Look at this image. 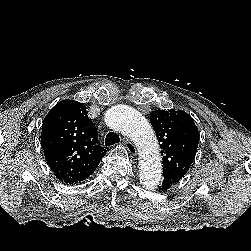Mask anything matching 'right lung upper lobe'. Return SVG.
Returning a JSON list of instances; mask_svg holds the SVG:
<instances>
[{
	"label": "right lung upper lobe",
	"instance_id": "obj_1",
	"mask_svg": "<svg viewBox=\"0 0 251 251\" xmlns=\"http://www.w3.org/2000/svg\"><path fill=\"white\" fill-rule=\"evenodd\" d=\"M41 145L56 178L76 184L88 178L105 155L83 103L63 100L45 117Z\"/></svg>",
	"mask_w": 251,
	"mask_h": 251
}]
</instances>
